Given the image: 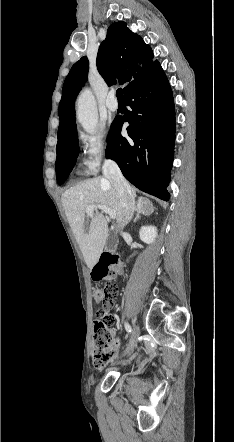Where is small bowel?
Segmentation results:
<instances>
[{
    "instance_id": "obj_1",
    "label": "small bowel",
    "mask_w": 234,
    "mask_h": 442,
    "mask_svg": "<svg viewBox=\"0 0 234 442\" xmlns=\"http://www.w3.org/2000/svg\"><path fill=\"white\" fill-rule=\"evenodd\" d=\"M94 328L103 331L105 328H114L115 316L114 314H98L93 321Z\"/></svg>"
}]
</instances>
